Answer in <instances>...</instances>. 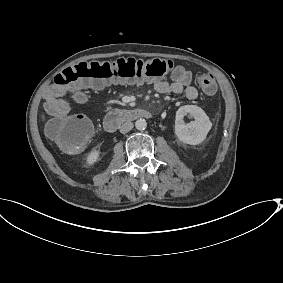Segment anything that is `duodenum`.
I'll use <instances>...</instances> for the list:
<instances>
[{"instance_id": "obj_1", "label": "duodenum", "mask_w": 283, "mask_h": 283, "mask_svg": "<svg viewBox=\"0 0 283 283\" xmlns=\"http://www.w3.org/2000/svg\"><path fill=\"white\" fill-rule=\"evenodd\" d=\"M150 116V112L144 108H134L128 111L114 110L105 115L103 126L107 132L112 133L124 122L135 119H147Z\"/></svg>"}]
</instances>
